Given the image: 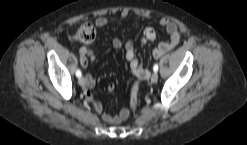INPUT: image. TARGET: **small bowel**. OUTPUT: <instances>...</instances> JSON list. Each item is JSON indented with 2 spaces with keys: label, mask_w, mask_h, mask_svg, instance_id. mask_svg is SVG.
I'll return each instance as SVG.
<instances>
[{
  "label": "small bowel",
  "mask_w": 247,
  "mask_h": 145,
  "mask_svg": "<svg viewBox=\"0 0 247 145\" xmlns=\"http://www.w3.org/2000/svg\"><path fill=\"white\" fill-rule=\"evenodd\" d=\"M126 14L123 13V16ZM108 24V19L104 16L96 18L95 25L98 28H103ZM159 27L164 28L168 36V40L159 43L153 50V57L159 58L165 52L173 49L180 42V32L178 25L170 18L164 17L159 21ZM157 37L156 30L153 27H146L143 30V36L140 40L141 45H145L148 42L154 41ZM112 46L115 49H121L123 46L125 48V56L130 65L131 73L138 80H147L150 76L149 70L147 68V63L141 62L136 56V48L133 41L129 40L123 44L119 38H114L112 40ZM96 61V55L91 47V45L86 44L80 48V63L82 67L87 68L91 63ZM86 88L83 93L85 98L90 101L97 114L101 116L103 122L107 124L116 125L121 121L125 120L128 116L127 110H122L118 115H108L103 113V105L98 101L94 94L90 91L95 87L96 80L91 74H87L86 77ZM114 85H109L108 90L113 91Z\"/></svg>",
  "instance_id": "obj_1"
}]
</instances>
